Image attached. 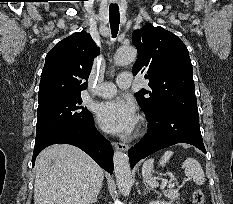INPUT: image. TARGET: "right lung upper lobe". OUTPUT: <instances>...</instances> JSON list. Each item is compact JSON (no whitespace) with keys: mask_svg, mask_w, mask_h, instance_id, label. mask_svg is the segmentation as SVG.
Segmentation results:
<instances>
[{"mask_svg":"<svg viewBox=\"0 0 233 204\" xmlns=\"http://www.w3.org/2000/svg\"><path fill=\"white\" fill-rule=\"evenodd\" d=\"M98 54L99 48L85 31L76 32L61 40L46 55L38 101L80 95L87 88L86 80Z\"/></svg>","mask_w":233,"mask_h":204,"instance_id":"obj_1","label":"right lung upper lobe"}]
</instances>
